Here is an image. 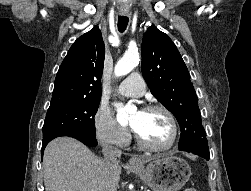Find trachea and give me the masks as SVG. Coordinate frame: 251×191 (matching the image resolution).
<instances>
[{"instance_id":"trachea-1","label":"trachea","mask_w":251,"mask_h":191,"mask_svg":"<svg viewBox=\"0 0 251 191\" xmlns=\"http://www.w3.org/2000/svg\"><path fill=\"white\" fill-rule=\"evenodd\" d=\"M128 22H129L128 17H124L121 15L118 17V30L120 33H123L126 30Z\"/></svg>"}]
</instances>
